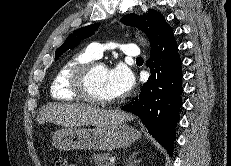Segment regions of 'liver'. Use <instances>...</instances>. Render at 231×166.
Wrapping results in <instances>:
<instances>
[{"instance_id":"obj_1","label":"liver","mask_w":231,"mask_h":166,"mask_svg":"<svg viewBox=\"0 0 231 166\" xmlns=\"http://www.w3.org/2000/svg\"><path fill=\"white\" fill-rule=\"evenodd\" d=\"M133 119V116L123 111L114 109H100L86 104H49L43 108L37 122L42 125L45 122L62 125L65 127H77L93 125L96 128H106L124 123Z\"/></svg>"}]
</instances>
